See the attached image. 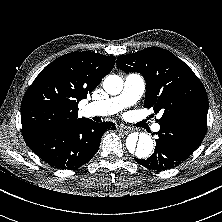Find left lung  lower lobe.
<instances>
[{
    "label": "left lung lower lobe",
    "mask_w": 222,
    "mask_h": 222,
    "mask_svg": "<svg viewBox=\"0 0 222 222\" xmlns=\"http://www.w3.org/2000/svg\"><path fill=\"white\" fill-rule=\"evenodd\" d=\"M160 130L154 134L155 152L146 160L135 158L136 162L153 170H167L185 161L203 141L207 125L189 121L173 120L159 123Z\"/></svg>",
    "instance_id": "0a47b994"
}]
</instances>
